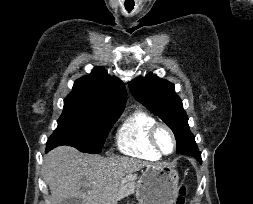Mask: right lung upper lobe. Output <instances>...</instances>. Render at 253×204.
<instances>
[{"label":"right lung upper lobe","mask_w":253,"mask_h":204,"mask_svg":"<svg viewBox=\"0 0 253 204\" xmlns=\"http://www.w3.org/2000/svg\"><path fill=\"white\" fill-rule=\"evenodd\" d=\"M69 97L104 108L113 114H121L126 103L124 84L115 76H109L103 67L74 82Z\"/></svg>","instance_id":"1"}]
</instances>
